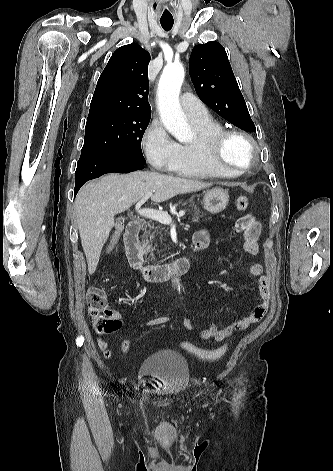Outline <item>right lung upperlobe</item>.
I'll return each mask as SVG.
<instances>
[{
  "mask_svg": "<svg viewBox=\"0 0 333 471\" xmlns=\"http://www.w3.org/2000/svg\"><path fill=\"white\" fill-rule=\"evenodd\" d=\"M149 61V53L136 43L118 48L100 75L88 117L105 113L151 115Z\"/></svg>",
  "mask_w": 333,
  "mask_h": 471,
  "instance_id": "1",
  "label": "right lung upper lobe"
}]
</instances>
